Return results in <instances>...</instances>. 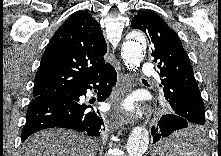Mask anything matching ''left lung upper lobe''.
<instances>
[{"label":"left lung upper lobe","instance_id":"5c2ea615","mask_svg":"<svg viewBox=\"0 0 221 156\" xmlns=\"http://www.w3.org/2000/svg\"><path fill=\"white\" fill-rule=\"evenodd\" d=\"M131 28L144 31L149 38L151 55L158 63L164 95L173 113L193 124L204 125V103L178 35L151 11H139L132 19Z\"/></svg>","mask_w":221,"mask_h":156}]
</instances>
